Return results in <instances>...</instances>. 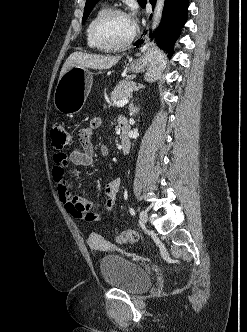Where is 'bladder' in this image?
<instances>
[{"mask_svg": "<svg viewBox=\"0 0 247 332\" xmlns=\"http://www.w3.org/2000/svg\"><path fill=\"white\" fill-rule=\"evenodd\" d=\"M99 267L108 286L129 294H140L151 285V276L143 266L118 254L104 255Z\"/></svg>", "mask_w": 247, "mask_h": 332, "instance_id": "bladder-1", "label": "bladder"}]
</instances>
